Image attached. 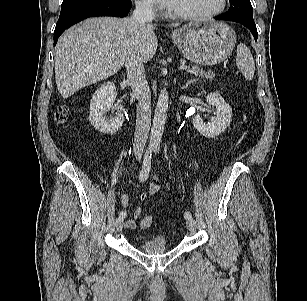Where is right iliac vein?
Returning <instances> with one entry per match:
<instances>
[{
  "label": "right iliac vein",
  "instance_id": "right-iliac-vein-1",
  "mask_svg": "<svg viewBox=\"0 0 307 301\" xmlns=\"http://www.w3.org/2000/svg\"><path fill=\"white\" fill-rule=\"evenodd\" d=\"M123 223H124V218L119 217V218L116 219L115 226H116L117 231H121L122 230Z\"/></svg>",
  "mask_w": 307,
  "mask_h": 301
}]
</instances>
